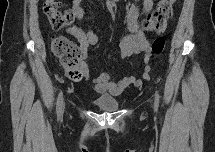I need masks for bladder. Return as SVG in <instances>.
Masks as SVG:
<instances>
[{"instance_id": "bladder-1", "label": "bladder", "mask_w": 215, "mask_h": 152, "mask_svg": "<svg viewBox=\"0 0 215 152\" xmlns=\"http://www.w3.org/2000/svg\"><path fill=\"white\" fill-rule=\"evenodd\" d=\"M95 107L104 112L117 111L120 108V102L112 97H99L95 101Z\"/></svg>"}]
</instances>
